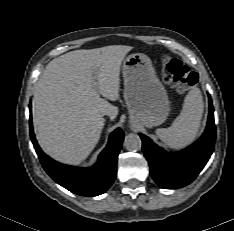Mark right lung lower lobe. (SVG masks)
I'll return each mask as SVG.
<instances>
[{"instance_id": "obj_1", "label": "right lung lower lobe", "mask_w": 234, "mask_h": 231, "mask_svg": "<svg viewBox=\"0 0 234 231\" xmlns=\"http://www.w3.org/2000/svg\"><path fill=\"white\" fill-rule=\"evenodd\" d=\"M30 135L45 171L55 182L69 191L82 196H97L104 193L114 182L117 173V157L124 139V133L120 128L110 135L106 148L99 155L98 162L90 168L63 165L44 154L34 136L31 112Z\"/></svg>"}]
</instances>
